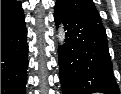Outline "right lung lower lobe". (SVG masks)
<instances>
[{
  "label": "right lung lower lobe",
  "mask_w": 121,
  "mask_h": 94,
  "mask_svg": "<svg viewBox=\"0 0 121 94\" xmlns=\"http://www.w3.org/2000/svg\"><path fill=\"white\" fill-rule=\"evenodd\" d=\"M26 26L20 1L1 9V94H25L28 67Z\"/></svg>",
  "instance_id": "obj_1"
}]
</instances>
